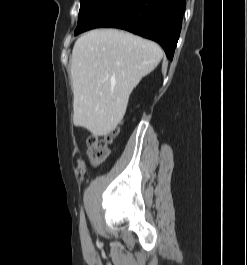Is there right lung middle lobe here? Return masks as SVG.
I'll return each instance as SVG.
<instances>
[{
	"label": "right lung middle lobe",
	"mask_w": 247,
	"mask_h": 265,
	"mask_svg": "<svg viewBox=\"0 0 247 265\" xmlns=\"http://www.w3.org/2000/svg\"><path fill=\"white\" fill-rule=\"evenodd\" d=\"M99 0H81L80 1V11L78 16V23L87 15V13L93 8V6Z\"/></svg>",
	"instance_id": "1"
}]
</instances>
